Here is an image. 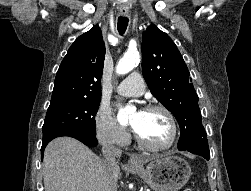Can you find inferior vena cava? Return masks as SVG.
<instances>
[{
    "instance_id": "1",
    "label": "inferior vena cava",
    "mask_w": 251,
    "mask_h": 191,
    "mask_svg": "<svg viewBox=\"0 0 251 191\" xmlns=\"http://www.w3.org/2000/svg\"><path fill=\"white\" fill-rule=\"evenodd\" d=\"M102 153L105 157V161L116 167L118 163L117 157H121L122 149L113 145L112 141H107V139H105L102 145Z\"/></svg>"
}]
</instances>
